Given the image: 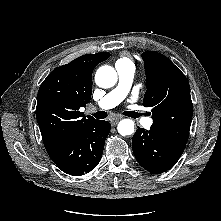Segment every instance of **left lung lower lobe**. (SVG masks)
I'll list each match as a JSON object with an SVG mask.
<instances>
[{"label": "left lung lower lobe", "mask_w": 221, "mask_h": 221, "mask_svg": "<svg viewBox=\"0 0 221 221\" xmlns=\"http://www.w3.org/2000/svg\"><path fill=\"white\" fill-rule=\"evenodd\" d=\"M137 128L132 138L137 162L155 174L171 169L182 155L185 145L166 140L151 130Z\"/></svg>", "instance_id": "obj_1"}]
</instances>
